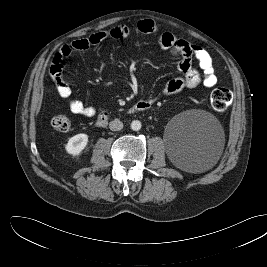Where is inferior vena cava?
I'll return each instance as SVG.
<instances>
[{
	"mask_svg": "<svg viewBox=\"0 0 267 267\" xmlns=\"http://www.w3.org/2000/svg\"><path fill=\"white\" fill-rule=\"evenodd\" d=\"M109 128L112 131H119L123 128V123L120 120L115 119L109 123Z\"/></svg>",
	"mask_w": 267,
	"mask_h": 267,
	"instance_id": "inferior-vena-cava-1",
	"label": "inferior vena cava"
}]
</instances>
